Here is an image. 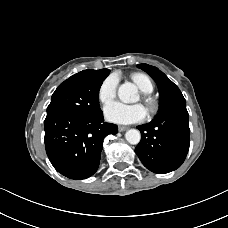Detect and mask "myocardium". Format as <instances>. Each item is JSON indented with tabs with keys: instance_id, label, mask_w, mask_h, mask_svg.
<instances>
[{
	"instance_id": "f54148a6",
	"label": "myocardium",
	"mask_w": 228,
	"mask_h": 228,
	"mask_svg": "<svg viewBox=\"0 0 228 228\" xmlns=\"http://www.w3.org/2000/svg\"><path fill=\"white\" fill-rule=\"evenodd\" d=\"M143 101H144L147 109L150 112H154L157 109V103H156V101L152 97H150V96H148V95L145 94L143 96Z\"/></svg>"
}]
</instances>
